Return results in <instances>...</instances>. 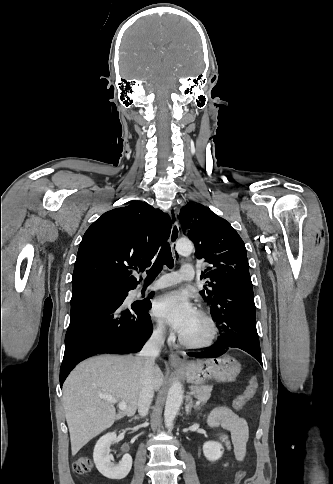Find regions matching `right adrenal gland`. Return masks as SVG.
Listing matches in <instances>:
<instances>
[{
	"instance_id": "right-adrenal-gland-1",
	"label": "right adrenal gland",
	"mask_w": 333,
	"mask_h": 484,
	"mask_svg": "<svg viewBox=\"0 0 333 484\" xmlns=\"http://www.w3.org/2000/svg\"><path fill=\"white\" fill-rule=\"evenodd\" d=\"M133 419H134V420H138V419H139V417H137V416H136V417H134Z\"/></svg>"
}]
</instances>
